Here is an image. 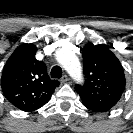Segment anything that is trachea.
<instances>
[{"label": "trachea", "mask_w": 133, "mask_h": 133, "mask_svg": "<svg viewBox=\"0 0 133 133\" xmlns=\"http://www.w3.org/2000/svg\"><path fill=\"white\" fill-rule=\"evenodd\" d=\"M62 76V69L60 66H54L52 69H51V77L52 78H61Z\"/></svg>", "instance_id": "trachea-1"}]
</instances>
